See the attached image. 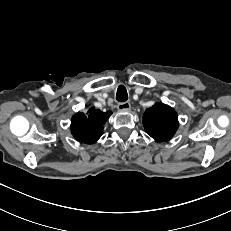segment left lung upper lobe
<instances>
[{"mask_svg":"<svg viewBox=\"0 0 231 231\" xmlns=\"http://www.w3.org/2000/svg\"><path fill=\"white\" fill-rule=\"evenodd\" d=\"M146 132L156 141H166L173 137L178 129V116L173 108L156 103L143 114Z\"/></svg>","mask_w":231,"mask_h":231,"instance_id":"5c2ea615","label":"left lung upper lobe"}]
</instances>
